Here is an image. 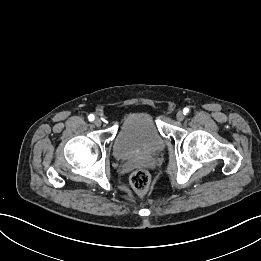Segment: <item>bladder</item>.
<instances>
[{
	"label": "bladder",
	"instance_id": "bladder-1",
	"mask_svg": "<svg viewBox=\"0 0 261 261\" xmlns=\"http://www.w3.org/2000/svg\"><path fill=\"white\" fill-rule=\"evenodd\" d=\"M165 147L153 115L147 111L129 114L122 122L113 143L116 159H128L141 154H155Z\"/></svg>",
	"mask_w": 261,
	"mask_h": 261
}]
</instances>
